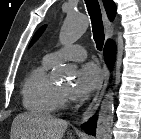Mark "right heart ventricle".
<instances>
[{
    "mask_svg": "<svg viewBox=\"0 0 141 139\" xmlns=\"http://www.w3.org/2000/svg\"><path fill=\"white\" fill-rule=\"evenodd\" d=\"M53 63L45 58L34 67L24 80L22 102L25 109L37 115H49L58 108V87L48 77Z\"/></svg>",
    "mask_w": 141,
    "mask_h": 139,
    "instance_id": "1",
    "label": "right heart ventricle"
}]
</instances>
